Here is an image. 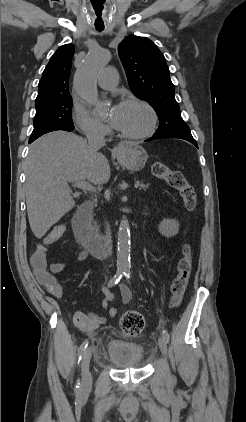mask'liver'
<instances>
[{"label": "liver", "mask_w": 246, "mask_h": 422, "mask_svg": "<svg viewBox=\"0 0 246 422\" xmlns=\"http://www.w3.org/2000/svg\"><path fill=\"white\" fill-rule=\"evenodd\" d=\"M25 174L29 224L33 234L42 238L75 205L68 183L87 179L94 185L106 184L110 166L81 137L54 131L30 145Z\"/></svg>", "instance_id": "1"}]
</instances>
